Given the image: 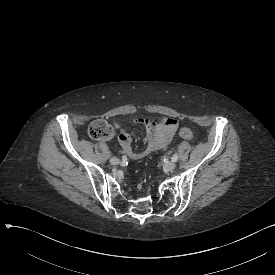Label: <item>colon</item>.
<instances>
[{"label":"colon","mask_w":275,"mask_h":275,"mask_svg":"<svg viewBox=\"0 0 275 275\" xmlns=\"http://www.w3.org/2000/svg\"><path fill=\"white\" fill-rule=\"evenodd\" d=\"M112 133V123L102 117L95 119L88 127V134L90 138L94 140H105L109 138ZM179 135L186 140H192L194 138V133L187 127H181L179 129Z\"/></svg>","instance_id":"1"}]
</instances>
